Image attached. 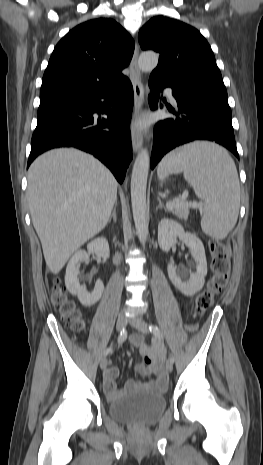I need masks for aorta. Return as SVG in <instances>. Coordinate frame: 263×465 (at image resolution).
<instances>
[{
	"mask_svg": "<svg viewBox=\"0 0 263 465\" xmlns=\"http://www.w3.org/2000/svg\"><path fill=\"white\" fill-rule=\"evenodd\" d=\"M159 56L153 51L142 52L138 59V66L143 72H150L156 68ZM149 172V153L142 149L134 162L131 177V205L135 228L141 244L144 246L148 235L146 221V188Z\"/></svg>",
	"mask_w": 263,
	"mask_h": 465,
	"instance_id": "1",
	"label": "aorta"
}]
</instances>
